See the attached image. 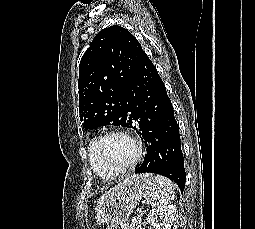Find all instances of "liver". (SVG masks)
<instances>
[{"label":"liver","mask_w":255,"mask_h":229,"mask_svg":"<svg viewBox=\"0 0 255 229\" xmlns=\"http://www.w3.org/2000/svg\"><path fill=\"white\" fill-rule=\"evenodd\" d=\"M117 189H118V185L115 186L114 188L110 189L108 192H106L105 194H103V195L99 198V200L97 201V204H96L95 212H98V211L100 210V208H101V206L104 204V202H105L108 198L112 197V196L115 194V192L117 191Z\"/></svg>","instance_id":"6515ba94"}]
</instances>
